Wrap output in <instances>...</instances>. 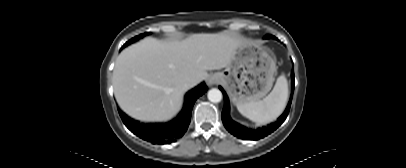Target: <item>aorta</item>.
<instances>
[{
	"label": "aorta",
	"instance_id": "aorta-1",
	"mask_svg": "<svg viewBox=\"0 0 406 168\" xmlns=\"http://www.w3.org/2000/svg\"><path fill=\"white\" fill-rule=\"evenodd\" d=\"M208 99L213 103H219L222 100V93L219 89L213 88L208 91Z\"/></svg>",
	"mask_w": 406,
	"mask_h": 168
}]
</instances>
